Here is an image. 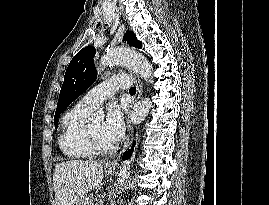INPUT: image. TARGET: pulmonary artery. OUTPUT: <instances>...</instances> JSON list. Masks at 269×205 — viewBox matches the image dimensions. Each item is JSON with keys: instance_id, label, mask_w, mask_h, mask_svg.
Wrapping results in <instances>:
<instances>
[{"instance_id": "e3ab8cb5", "label": "pulmonary artery", "mask_w": 269, "mask_h": 205, "mask_svg": "<svg viewBox=\"0 0 269 205\" xmlns=\"http://www.w3.org/2000/svg\"><path fill=\"white\" fill-rule=\"evenodd\" d=\"M131 85L132 78L129 75L109 78L85 94L78 105L93 111L99 104L113 96L118 89H127Z\"/></svg>"}]
</instances>
